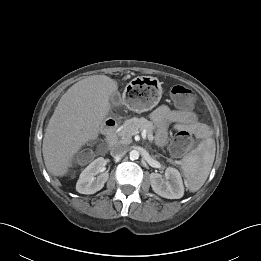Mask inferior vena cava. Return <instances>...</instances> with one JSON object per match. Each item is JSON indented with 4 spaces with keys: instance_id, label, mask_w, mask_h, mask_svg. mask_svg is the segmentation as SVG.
Returning <instances> with one entry per match:
<instances>
[{
    "instance_id": "602c4592",
    "label": "inferior vena cava",
    "mask_w": 261,
    "mask_h": 261,
    "mask_svg": "<svg viewBox=\"0 0 261 261\" xmlns=\"http://www.w3.org/2000/svg\"><path fill=\"white\" fill-rule=\"evenodd\" d=\"M128 151V148L123 145H115L111 148V155L115 158L123 157Z\"/></svg>"
}]
</instances>
